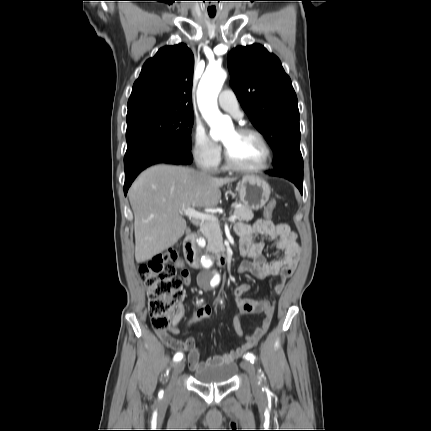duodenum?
<instances>
[{
    "mask_svg": "<svg viewBox=\"0 0 431 431\" xmlns=\"http://www.w3.org/2000/svg\"><path fill=\"white\" fill-rule=\"evenodd\" d=\"M183 249L187 263L193 268L199 267L198 252L195 245V235L193 233L186 236L183 243ZM214 260L220 267L227 264V257L222 251L215 254Z\"/></svg>",
    "mask_w": 431,
    "mask_h": 431,
    "instance_id": "duodenum-1",
    "label": "duodenum"
}]
</instances>
